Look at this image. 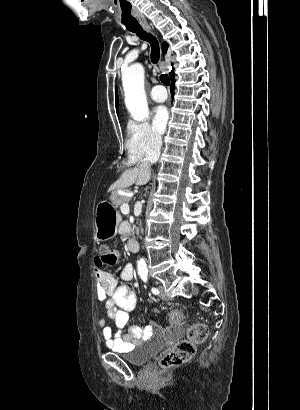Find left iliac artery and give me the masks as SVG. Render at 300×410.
<instances>
[{
  "instance_id": "left-iliac-artery-1",
  "label": "left iliac artery",
  "mask_w": 300,
  "mask_h": 410,
  "mask_svg": "<svg viewBox=\"0 0 300 410\" xmlns=\"http://www.w3.org/2000/svg\"><path fill=\"white\" fill-rule=\"evenodd\" d=\"M140 277H141V279L144 281V282H148V273L147 272H142V273H140ZM151 291H152V293L153 294H159V290L157 289V288H155V287H152L151 288Z\"/></svg>"
}]
</instances>
